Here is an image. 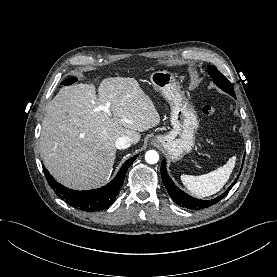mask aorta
<instances>
[{
  "label": "aorta",
  "mask_w": 277,
  "mask_h": 277,
  "mask_svg": "<svg viewBox=\"0 0 277 277\" xmlns=\"http://www.w3.org/2000/svg\"><path fill=\"white\" fill-rule=\"evenodd\" d=\"M145 160L147 163L155 164L159 161V154L155 150H149L145 154Z\"/></svg>",
  "instance_id": "obj_1"
}]
</instances>
